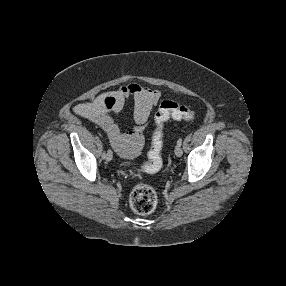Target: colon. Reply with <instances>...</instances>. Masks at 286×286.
<instances>
[{
    "mask_svg": "<svg viewBox=\"0 0 286 286\" xmlns=\"http://www.w3.org/2000/svg\"><path fill=\"white\" fill-rule=\"evenodd\" d=\"M195 116L193 110L187 105L172 100L161 103L155 115V129L152 135L151 147L148 152L149 161L144 165V170L149 173L157 172L162 165L161 152L163 147V126L170 119L191 120ZM129 202L131 208L138 214L152 213L158 203L155 190L147 184H138L131 192Z\"/></svg>",
    "mask_w": 286,
    "mask_h": 286,
    "instance_id": "1",
    "label": "colon"
}]
</instances>
